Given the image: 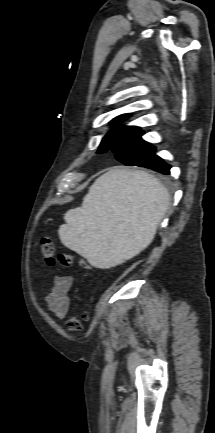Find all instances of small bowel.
<instances>
[{
	"instance_id": "small-bowel-1",
	"label": "small bowel",
	"mask_w": 215,
	"mask_h": 433,
	"mask_svg": "<svg viewBox=\"0 0 215 433\" xmlns=\"http://www.w3.org/2000/svg\"><path fill=\"white\" fill-rule=\"evenodd\" d=\"M73 285L71 275H55L53 287L47 294L45 301L57 319H63L68 313L70 306L69 291Z\"/></svg>"
}]
</instances>
